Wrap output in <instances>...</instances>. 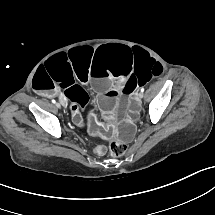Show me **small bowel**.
I'll return each instance as SVG.
<instances>
[{"instance_id": "1", "label": "small bowel", "mask_w": 215, "mask_h": 215, "mask_svg": "<svg viewBox=\"0 0 215 215\" xmlns=\"http://www.w3.org/2000/svg\"><path fill=\"white\" fill-rule=\"evenodd\" d=\"M65 95H66V94H65ZM95 151H96L97 154L102 155V154H104L105 149H104V147L99 146V147H97V148L95 149Z\"/></svg>"}]
</instances>
